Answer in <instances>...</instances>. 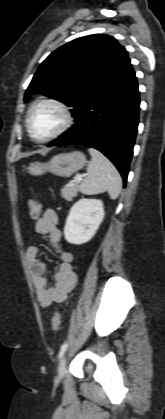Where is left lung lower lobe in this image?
I'll use <instances>...</instances> for the list:
<instances>
[{
  "mask_svg": "<svg viewBox=\"0 0 165 419\" xmlns=\"http://www.w3.org/2000/svg\"><path fill=\"white\" fill-rule=\"evenodd\" d=\"M140 99L131 63L89 97L75 114V125L47 146L76 144L107 156L127 181L138 126Z\"/></svg>",
  "mask_w": 165,
  "mask_h": 419,
  "instance_id": "obj_1",
  "label": "left lung lower lobe"
}]
</instances>
